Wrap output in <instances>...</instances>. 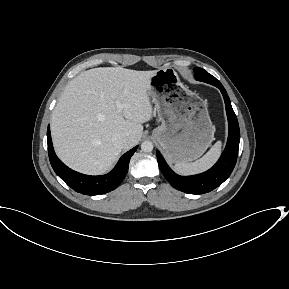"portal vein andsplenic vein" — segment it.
Listing matches in <instances>:
<instances>
[{
  "label": "portal vein and splenic vein",
  "mask_w": 289,
  "mask_h": 289,
  "mask_svg": "<svg viewBox=\"0 0 289 289\" xmlns=\"http://www.w3.org/2000/svg\"><path fill=\"white\" fill-rule=\"evenodd\" d=\"M118 108L121 109V108H122V105L118 104Z\"/></svg>",
  "instance_id": "obj_1"
}]
</instances>
